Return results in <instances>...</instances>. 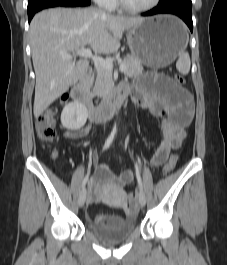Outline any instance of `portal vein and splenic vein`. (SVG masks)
Here are the masks:
<instances>
[{"mask_svg":"<svg viewBox=\"0 0 227 265\" xmlns=\"http://www.w3.org/2000/svg\"><path fill=\"white\" fill-rule=\"evenodd\" d=\"M75 55L90 58L94 61L96 65L99 67H102L104 69H107L109 71L113 70V63L110 60L103 59L102 57H99L97 55H93L90 49H80L75 52ZM62 57L64 59H71L72 55L70 54H62ZM119 70L122 72H125L127 70L126 65H120Z\"/></svg>","mask_w":227,"mask_h":265,"instance_id":"1","label":"portal vein and splenic vein"}]
</instances>
